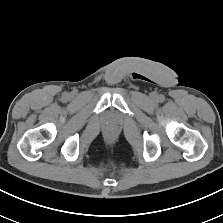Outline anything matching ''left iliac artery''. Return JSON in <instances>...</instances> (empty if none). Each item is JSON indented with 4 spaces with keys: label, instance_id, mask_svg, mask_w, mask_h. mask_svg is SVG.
I'll return each mask as SVG.
<instances>
[{
    "label": "left iliac artery",
    "instance_id": "44dca946",
    "mask_svg": "<svg viewBox=\"0 0 223 223\" xmlns=\"http://www.w3.org/2000/svg\"><path fill=\"white\" fill-rule=\"evenodd\" d=\"M158 100H159L160 102H162V101L164 100V96L160 95V96L158 97Z\"/></svg>",
    "mask_w": 223,
    "mask_h": 223
}]
</instances>
